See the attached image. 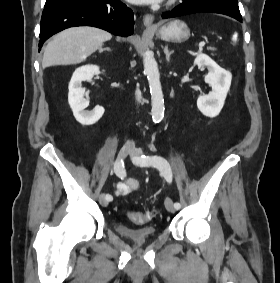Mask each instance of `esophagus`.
I'll return each instance as SVG.
<instances>
[{
    "label": "esophagus",
    "mask_w": 280,
    "mask_h": 283,
    "mask_svg": "<svg viewBox=\"0 0 280 283\" xmlns=\"http://www.w3.org/2000/svg\"><path fill=\"white\" fill-rule=\"evenodd\" d=\"M154 17L153 15L151 14H147L145 15L144 19H143V23H144V26L147 28V29H156V26L154 25Z\"/></svg>",
    "instance_id": "esophagus-1"
}]
</instances>
